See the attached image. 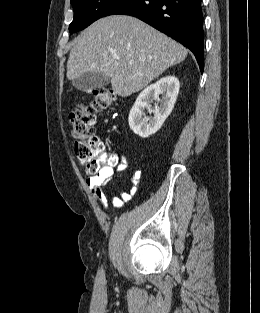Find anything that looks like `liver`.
I'll return each instance as SVG.
<instances>
[{"mask_svg":"<svg viewBox=\"0 0 260 313\" xmlns=\"http://www.w3.org/2000/svg\"><path fill=\"white\" fill-rule=\"evenodd\" d=\"M187 49L143 21L113 15L91 24L73 41L67 62V78L88 72L111 79L121 97L145 88L170 66L187 57Z\"/></svg>","mask_w":260,"mask_h":313,"instance_id":"1","label":"liver"}]
</instances>
